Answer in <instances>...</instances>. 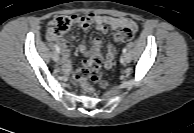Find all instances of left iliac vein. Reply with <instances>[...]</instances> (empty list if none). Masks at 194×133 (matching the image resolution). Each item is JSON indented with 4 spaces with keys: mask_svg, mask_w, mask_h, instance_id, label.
<instances>
[{
    "mask_svg": "<svg viewBox=\"0 0 194 133\" xmlns=\"http://www.w3.org/2000/svg\"><path fill=\"white\" fill-rule=\"evenodd\" d=\"M130 61H131V56L129 54H125L123 59H122L123 64H127Z\"/></svg>",
    "mask_w": 194,
    "mask_h": 133,
    "instance_id": "obj_1",
    "label": "left iliac vein"
}]
</instances>
